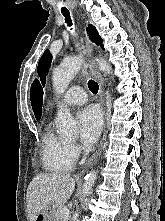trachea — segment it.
I'll list each match as a JSON object with an SVG mask.
<instances>
[{"instance_id": "3493384b", "label": "trachea", "mask_w": 165, "mask_h": 221, "mask_svg": "<svg viewBox=\"0 0 165 221\" xmlns=\"http://www.w3.org/2000/svg\"><path fill=\"white\" fill-rule=\"evenodd\" d=\"M61 13L65 17V22L67 23V25L69 27L72 26V20L70 18L69 11L68 10H61ZM88 87L93 94H96L98 92L99 86H98V83L95 82L94 80L88 81Z\"/></svg>"}]
</instances>
